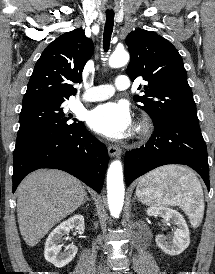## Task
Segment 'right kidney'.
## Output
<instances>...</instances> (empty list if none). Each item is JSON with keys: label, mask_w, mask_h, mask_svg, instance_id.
I'll use <instances>...</instances> for the list:
<instances>
[{"label": "right kidney", "mask_w": 215, "mask_h": 274, "mask_svg": "<svg viewBox=\"0 0 215 274\" xmlns=\"http://www.w3.org/2000/svg\"><path fill=\"white\" fill-rule=\"evenodd\" d=\"M71 228H75L79 234L85 229L84 217L82 215H74L67 221L60 223L48 236L45 243L44 257L57 268H62L72 261L77 253V247L74 244L65 247L61 252V239L68 234Z\"/></svg>", "instance_id": "right-kidney-1"}]
</instances>
